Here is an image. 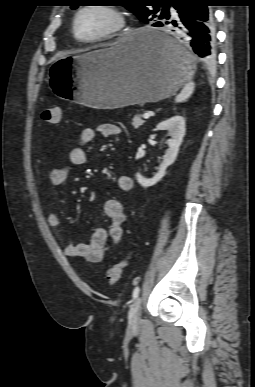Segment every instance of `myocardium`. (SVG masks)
Returning <instances> with one entry per match:
<instances>
[{"label": "myocardium", "instance_id": "myocardium-1", "mask_svg": "<svg viewBox=\"0 0 255 387\" xmlns=\"http://www.w3.org/2000/svg\"><path fill=\"white\" fill-rule=\"evenodd\" d=\"M88 10H99L106 12L110 14L113 17V25L104 31L103 33L91 37V38H84L80 36L77 28V23L79 17ZM127 25V18L125 13L118 7L114 5H104V4H90V5H84L80 7L74 14L73 20H72V32L74 37L83 43L87 44H93V43H99L111 40L113 38H116L117 36L121 35L126 28Z\"/></svg>", "mask_w": 255, "mask_h": 387}]
</instances>
